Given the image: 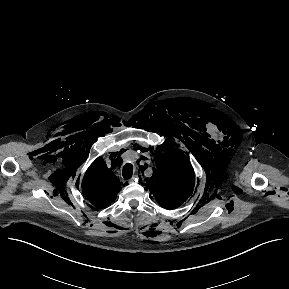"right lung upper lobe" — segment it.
<instances>
[{"instance_id":"obj_1","label":"right lung upper lobe","mask_w":289,"mask_h":289,"mask_svg":"<svg viewBox=\"0 0 289 289\" xmlns=\"http://www.w3.org/2000/svg\"><path fill=\"white\" fill-rule=\"evenodd\" d=\"M122 183L109 169L104 165L101 158L87 170L83 181L82 191L94 210L104 208L116 199V195L121 190Z\"/></svg>"}]
</instances>
